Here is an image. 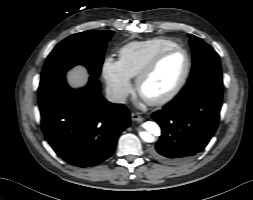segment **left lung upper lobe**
I'll return each instance as SVG.
<instances>
[{"label":"left lung upper lobe","instance_id":"1","mask_svg":"<svg viewBox=\"0 0 253 200\" xmlns=\"http://www.w3.org/2000/svg\"><path fill=\"white\" fill-rule=\"evenodd\" d=\"M193 67L187 84L176 96L184 98L205 86H223L218 54L202 39L189 34Z\"/></svg>","mask_w":253,"mask_h":200}]
</instances>
